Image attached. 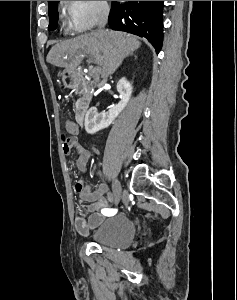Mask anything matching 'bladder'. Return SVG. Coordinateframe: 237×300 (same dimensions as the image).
Here are the masks:
<instances>
[{
    "label": "bladder",
    "mask_w": 237,
    "mask_h": 300,
    "mask_svg": "<svg viewBox=\"0 0 237 300\" xmlns=\"http://www.w3.org/2000/svg\"><path fill=\"white\" fill-rule=\"evenodd\" d=\"M137 227L134 221L124 214L105 219L89 235L90 240L100 246L126 248L136 237Z\"/></svg>",
    "instance_id": "bladder-1"
}]
</instances>
